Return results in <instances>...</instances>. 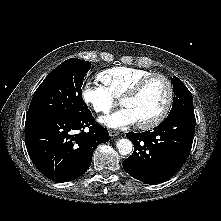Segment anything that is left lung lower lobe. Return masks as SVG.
<instances>
[{
  "instance_id": "left-lung-lower-lobe-1",
  "label": "left lung lower lobe",
  "mask_w": 221,
  "mask_h": 221,
  "mask_svg": "<svg viewBox=\"0 0 221 221\" xmlns=\"http://www.w3.org/2000/svg\"><path fill=\"white\" fill-rule=\"evenodd\" d=\"M194 115L167 117L153 130L127 133L133 154L123 161L124 170L144 183H157L174 175L186 161L193 142Z\"/></svg>"
}]
</instances>
